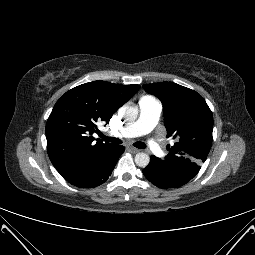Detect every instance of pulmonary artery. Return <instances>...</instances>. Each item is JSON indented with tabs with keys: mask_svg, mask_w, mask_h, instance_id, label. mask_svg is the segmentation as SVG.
Here are the masks:
<instances>
[{
	"mask_svg": "<svg viewBox=\"0 0 255 255\" xmlns=\"http://www.w3.org/2000/svg\"><path fill=\"white\" fill-rule=\"evenodd\" d=\"M139 117L136 121L126 124L114 132L118 137H137L150 133L157 125L161 112V103L153 97L146 96L139 101ZM147 147L157 156L163 154L161 145L153 138L147 139Z\"/></svg>",
	"mask_w": 255,
	"mask_h": 255,
	"instance_id": "1",
	"label": "pulmonary artery"
}]
</instances>
